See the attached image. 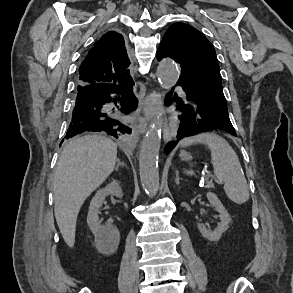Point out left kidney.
<instances>
[{
	"instance_id": "left-kidney-1",
	"label": "left kidney",
	"mask_w": 293,
	"mask_h": 293,
	"mask_svg": "<svg viewBox=\"0 0 293 293\" xmlns=\"http://www.w3.org/2000/svg\"><path fill=\"white\" fill-rule=\"evenodd\" d=\"M206 196L210 205L219 213L220 222L213 231L207 229L204 224L198 223L197 227L204 238L215 242L218 241L222 234L229 228L231 217L215 193L208 192Z\"/></svg>"
}]
</instances>
